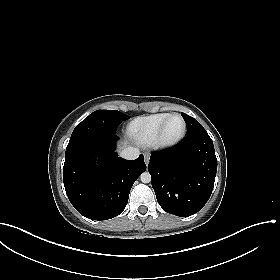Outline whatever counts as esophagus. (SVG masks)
I'll return each instance as SVG.
<instances>
[{"label": "esophagus", "instance_id": "esophagus-1", "mask_svg": "<svg viewBox=\"0 0 280 280\" xmlns=\"http://www.w3.org/2000/svg\"><path fill=\"white\" fill-rule=\"evenodd\" d=\"M149 159H150V156L149 154H144V161H145V164L147 165L149 163Z\"/></svg>", "mask_w": 280, "mask_h": 280}]
</instances>
